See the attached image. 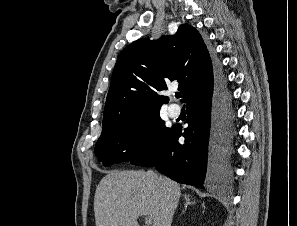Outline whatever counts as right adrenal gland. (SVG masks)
<instances>
[{"mask_svg": "<svg viewBox=\"0 0 297 226\" xmlns=\"http://www.w3.org/2000/svg\"><path fill=\"white\" fill-rule=\"evenodd\" d=\"M183 197H184V200H185V204H184V209H183L182 213H184L187 210V207L189 205H193V204L196 203L195 201L192 202L190 200V196L188 194H184Z\"/></svg>", "mask_w": 297, "mask_h": 226, "instance_id": "2a0ac1e0", "label": "right adrenal gland"}]
</instances>
